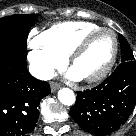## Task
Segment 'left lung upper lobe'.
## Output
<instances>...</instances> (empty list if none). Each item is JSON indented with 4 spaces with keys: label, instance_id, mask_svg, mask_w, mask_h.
<instances>
[{
    "label": "left lung upper lobe",
    "instance_id": "1",
    "mask_svg": "<svg viewBox=\"0 0 136 136\" xmlns=\"http://www.w3.org/2000/svg\"><path fill=\"white\" fill-rule=\"evenodd\" d=\"M119 41L121 45V62H127V61H134L135 58L133 56V52L127 42V40L122 36L119 35Z\"/></svg>",
    "mask_w": 136,
    "mask_h": 136
}]
</instances>
